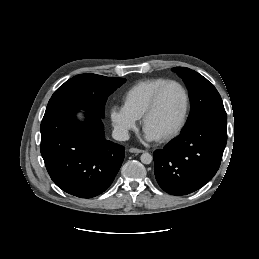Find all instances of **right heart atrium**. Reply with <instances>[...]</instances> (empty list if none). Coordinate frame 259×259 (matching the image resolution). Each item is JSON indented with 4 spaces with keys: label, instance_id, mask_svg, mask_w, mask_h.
Instances as JSON below:
<instances>
[{
    "label": "right heart atrium",
    "instance_id": "right-heart-atrium-1",
    "mask_svg": "<svg viewBox=\"0 0 259 259\" xmlns=\"http://www.w3.org/2000/svg\"><path fill=\"white\" fill-rule=\"evenodd\" d=\"M109 117L114 132L120 139H127L130 132L137 128L138 119L131 115L123 106H112L109 111Z\"/></svg>",
    "mask_w": 259,
    "mask_h": 259
}]
</instances>
